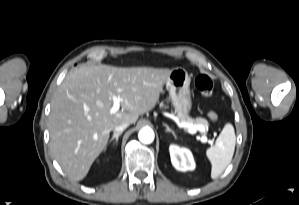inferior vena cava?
Segmentation results:
<instances>
[{"label":"inferior vena cava","instance_id":"inferior-vena-cava-1","mask_svg":"<svg viewBox=\"0 0 299 205\" xmlns=\"http://www.w3.org/2000/svg\"><path fill=\"white\" fill-rule=\"evenodd\" d=\"M129 126L128 122H123L114 128L115 133L123 132Z\"/></svg>","mask_w":299,"mask_h":205}]
</instances>
